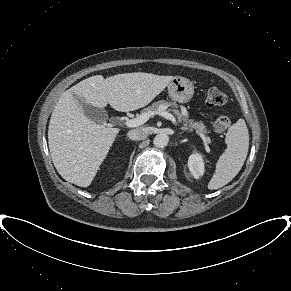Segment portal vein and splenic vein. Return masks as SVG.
Here are the masks:
<instances>
[{
  "mask_svg": "<svg viewBox=\"0 0 291 291\" xmlns=\"http://www.w3.org/2000/svg\"><path fill=\"white\" fill-rule=\"evenodd\" d=\"M155 114H160L161 116H163L167 120H170L175 126H178L175 117L171 113L165 112V111H161V112L156 111V112H151V113H144L137 118L130 119V120L126 119L124 124L130 128L137 127V126H140V125L144 124L145 122H147L149 120V118L151 116H154ZM203 138L205 139V141L207 143H211V140L209 137H206L203 135Z\"/></svg>",
  "mask_w": 291,
  "mask_h": 291,
  "instance_id": "1",
  "label": "portal vein and splenic vein"
}]
</instances>
